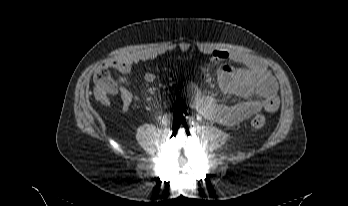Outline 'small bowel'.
<instances>
[{
    "instance_id": "1",
    "label": "small bowel",
    "mask_w": 348,
    "mask_h": 206,
    "mask_svg": "<svg viewBox=\"0 0 348 206\" xmlns=\"http://www.w3.org/2000/svg\"><path fill=\"white\" fill-rule=\"evenodd\" d=\"M190 48V44L186 42L178 45V49L181 52H187ZM170 50L162 48L138 50L110 59L104 64V67L114 68L125 75L132 70L135 64L153 60ZM198 50L213 61L230 59L240 64L239 67H234L229 63H224L218 73V83L223 92L235 94L245 99L235 105L223 104L201 91L197 84L190 82L185 87L188 100L205 117L224 126L231 127L260 111L274 113L278 110V84L263 62L248 54L231 53L223 49L201 46L198 47ZM144 77L148 83H152L156 79L155 74L152 72L145 73ZM110 94H118L120 96L123 114H127L130 107L139 101V97L124 85L123 78L119 79L117 88L113 92H106L100 86H95V98L106 106L111 105ZM254 96L256 98H253Z\"/></svg>"
}]
</instances>
